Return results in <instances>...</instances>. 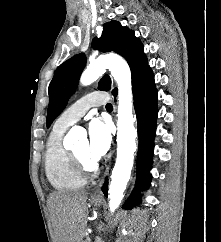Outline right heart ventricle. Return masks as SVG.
<instances>
[{
  "instance_id": "right-heart-ventricle-1",
  "label": "right heart ventricle",
  "mask_w": 221,
  "mask_h": 242,
  "mask_svg": "<svg viewBox=\"0 0 221 242\" xmlns=\"http://www.w3.org/2000/svg\"><path fill=\"white\" fill-rule=\"evenodd\" d=\"M66 129L54 125L44 153V170L51 186L58 191H69L83 187L86 179L75 168L71 152L62 145Z\"/></svg>"
}]
</instances>
